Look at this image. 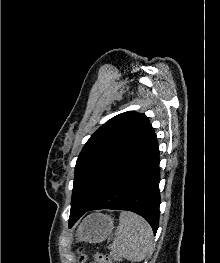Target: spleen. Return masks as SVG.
<instances>
[{"label": "spleen", "mask_w": 220, "mask_h": 263, "mask_svg": "<svg viewBox=\"0 0 220 263\" xmlns=\"http://www.w3.org/2000/svg\"><path fill=\"white\" fill-rule=\"evenodd\" d=\"M116 238L110 246L115 255L139 262L152 250L153 232L148 222L135 213L120 214Z\"/></svg>", "instance_id": "1"}]
</instances>
